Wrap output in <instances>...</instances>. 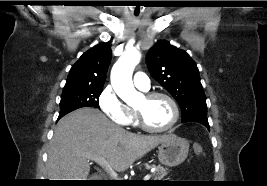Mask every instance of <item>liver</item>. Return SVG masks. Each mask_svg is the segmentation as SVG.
<instances>
[{
    "label": "liver",
    "mask_w": 267,
    "mask_h": 186,
    "mask_svg": "<svg viewBox=\"0 0 267 186\" xmlns=\"http://www.w3.org/2000/svg\"><path fill=\"white\" fill-rule=\"evenodd\" d=\"M168 135H137L112 123L94 108H80L61 118L50 142L49 180H86L88 157H103L119 172L154 149Z\"/></svg>",
    "instance_id": "liver-1"
}]
</instances>
